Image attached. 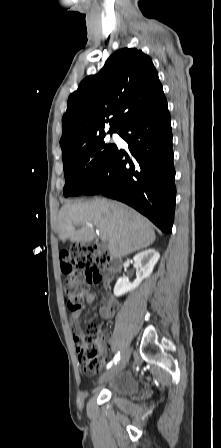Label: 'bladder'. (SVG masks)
<instances>
[{
    "label": "bladder",
    "instance_id": "1",
    "mask_svg": "<svg viewBox=\"0 0 221 448\" xmlns=\"http://www.w3.org/2000/svg\"><path fill=\"white\" fill-rule=\"evenodd\" d=\"M107 373V372H106ZM102 374L95 382V386L106 390L113 396L133 397L140 389L136 376L130 372L118 373L114 376Z\"/></svg>",
    "mask_w": 221,
    "mask_h": 448
}]
</instances>
